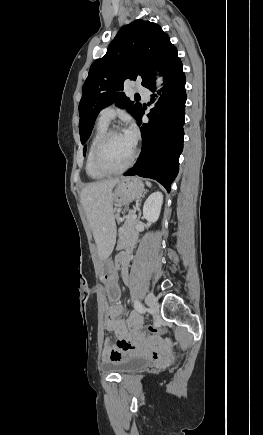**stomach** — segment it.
<instances>
[{
  "mask_svg": "<svg viewBox=\"0 0 263 435\" xmlns=\"http://www.w3.org/2000/svg\"><path fill=\"white\" fill-rule=\"evenodd\" d=\"M143 192L144 184L139 178H122L113 192L114 205L117 207L127 205L140 197ZM101 266L106 298L110 305H119L124 294V285H119L123 272L111 265L107 259L102 260ZM117 267H120V264H117Z\"/></svg>",
  "mask_w": 263,
  "mask_h": 435,
  "instance_id": "stomach-1",
  "label": "stomach"
}]
</instances>
